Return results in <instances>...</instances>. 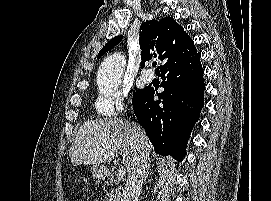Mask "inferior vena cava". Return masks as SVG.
<instances>
[{"label":"inferior vena cava","mask_w":271,"mask_h":201,"mask_svg":"<svg viewBox=\"0 0 271 201\" xmlns=\"http://www.w3.org/2000/svg\"><path fill=\"white\" fill-rule=\"evenodd\" d=\"M133 139L137 148V155L128 174L127 183L121 201H138L143 180L148 168L149 159L148 137L138 123L132 122Z\"/></svg>","instance_id":"1"}]
</instances>
